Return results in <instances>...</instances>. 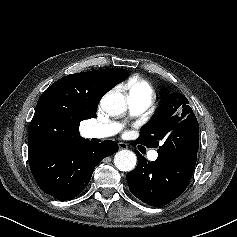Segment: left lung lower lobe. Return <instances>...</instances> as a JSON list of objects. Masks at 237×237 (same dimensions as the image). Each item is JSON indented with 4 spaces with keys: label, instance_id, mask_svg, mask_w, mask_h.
<instances>
[{
    "label": "left lung lower lobe",
    "instance_id": "left-lung-lower-lobe-1",
    "mask_svg": "<svg viewBox=\"0 0 237 237\" xmlns=\"http://www.w3.org/2000/svg\"><path fill=\"white\" fill-rule=\"evenodd\" d=\"M199 138L177 153L158 152L155 161L138 157L137 167L126 175L130 192L142 202L160 207L176 199L188 186L197 160Z\"/></svg>",
    "mask_w": 237,
    "mask_h": 237
}]
</instances>
